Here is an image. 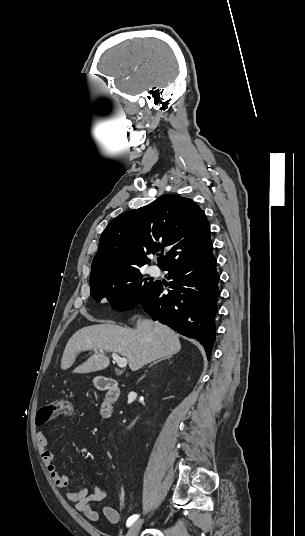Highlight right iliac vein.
<instances>
[{
    "mask_svg": "<svg viewBox=\"0 0 305 536\" xmlns=\"http://www.w3.org/2000/svg\"><path fill=\"white\" fill-rule=\"evenodd\" d=\"M141 523H142L141 520L136 521L135 523H133L130 526L126 536H137L138 533H139V530H140Z\"/></svg>",
    "mask_w": 305,
    "mask_h": 536,
    "instance_id": "1",
    "label": "right iliac vein"
}]
</instances>
